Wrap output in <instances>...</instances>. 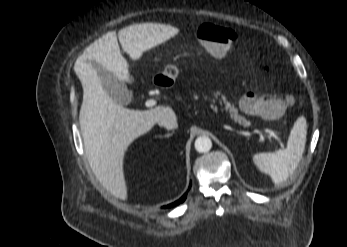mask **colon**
Instances as JSON below:
<instances>
[{"label":"colon","instance_id":"colon-1","mask_svg":"<svg viewBox=\"0 0 347 247\" xmlns=\"http://www.w3.org/2000/svg\"><path fill=\"white\" fill-rule=\"evenodd\" d=\"M197 38L205 50L215 58H223L239 41V34L232 28L215 24L204 23L196 32ZM270 93H248L242 97L239 107L251 116L278 117L283 109L292 104L289 97L269 100Z\"/></svg>","mask_w":347,"mask_h":247}]
</instances>
